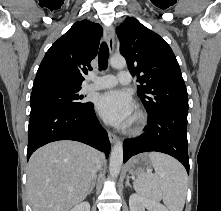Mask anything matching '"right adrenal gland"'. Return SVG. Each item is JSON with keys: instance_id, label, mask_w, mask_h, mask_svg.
<instances>
[{"instance_id": "obj_1", "label": "right adrenal gland", "mask_w": 221, "mask_h": 211, "mask_svg": "<svg viewBox=\"0 0 221 211\" xmlns=\"http://www.w3.org/2000/svg\"><path fill=\"white\" fill-rule=\"evenodd\" d=\"M95 184H96V177L94 178L93 182H92V185L90 187V190L88 192V195H90L95 187Z\"/></svg>"}]
</instances>
